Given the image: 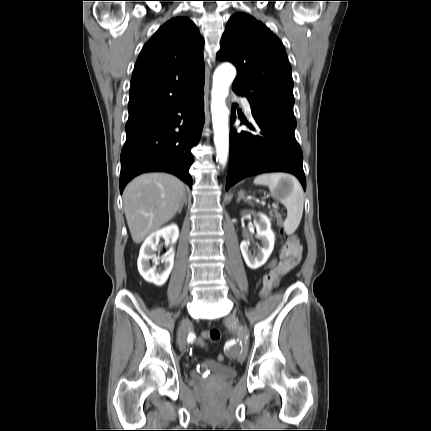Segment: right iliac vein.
I'll list each match as a JSON object with an SVG mask.
<instances>
[{"instance_id": "1", "label": "right iliac vein", "mask_w": 431, "mask_h": 431, "mask_svg": "<svg viewBox=\"0 0 431 431\" xmlns=\"http://www.w3.org/2000/svg\"><path fill=\"white\" fill-rule=\"evenodd\" d=\"M188 326V320H184L178 331V346L181 350L186 348V331Z\"/></svg>"}]
</instances>
